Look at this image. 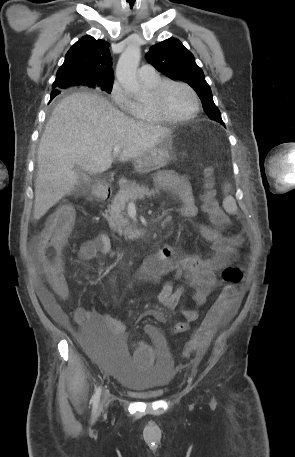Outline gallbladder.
I'll return each mask as SVG.
<instances>
[{
	"mask_svg": "<svg viewBox=\"0 0 295 457\" xmlns=\"http://www.w3.org/2000/svg\"><path fill=\"white\" fill-rule=\"evenodd\" d=\"M80 170H81V168L79 166L75 167V171L79 172Z\"/></svg>",
	"mask_w": 295,
	"mask_h": 457,
	"instance_id": "bac80fb5",
	"label": "gallbladder"
}]
</instances>
